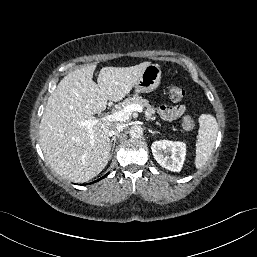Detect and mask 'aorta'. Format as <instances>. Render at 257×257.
Here are the masks:
<instances>
[{
  "label": "aorta",
  "instance_id": "762f6f07",
  "mask_svg": "<svg viewBox=\"0 0 257 257\" xmlns=\"http://www.w3.org/2000/svg\"><path fill=\"white\" fill-rule=\"evenodd\" d=\"M129 134L132 138H140L143 135V128L140 125H133Z\"/></svg>",
  "mask_w": 257,
  "mask_h": 257
}]
</instances>
